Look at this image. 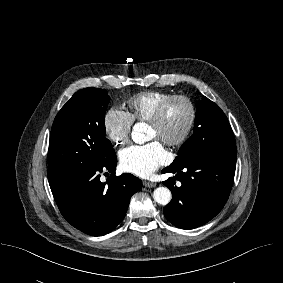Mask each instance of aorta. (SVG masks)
Listing matches in <instances>:
<instances>
[{"label": "aorta", "mask_w": 283, "mask_h": 283, "mask_svg": "<svg viewBox=\"0 0 283 283\" xmlns=\"http://www.w3.org/2000/svg\"><path fill=\"white\" fill-rule=\"evenodd\" d=\"M144 124L137 123L133 127L132 139L136 143H144L146 138L144 135ZM155 202L161 205H167L171 200V191L167 187H158L153 192Z\"/></svg>", "instance_id": "aorta-1"}]
</instances>
